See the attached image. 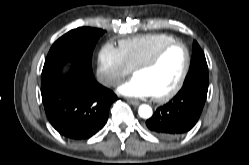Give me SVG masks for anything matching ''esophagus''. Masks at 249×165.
<instances>
[{"instance_id": "obj_1", "label": "esophagus", "mask_w": 249, "mask_h": 165, "mask_svg": "<svg viewBox=\"0 0 249 165\" xmlns=\"http://www.w3.org/2000/svg\"><path fill=\"white\" fill-rule=\"evenodd\" d=\"M127 101H128L130 104L134 105V106H138V105L140 104L139 101L134 100V99H127Z\"/></svg>"}]
</instances>
